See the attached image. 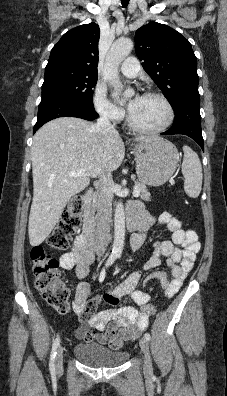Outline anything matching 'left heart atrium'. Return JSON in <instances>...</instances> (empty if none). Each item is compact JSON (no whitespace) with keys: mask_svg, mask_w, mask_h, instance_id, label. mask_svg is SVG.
<instances>
[{"mask_svg":"<svg viewBox=\"0 0 227 396\" xmlns=\"http://www.w3.org/2000/svg\"><path fill=\"white\" fill-rule=\"evenodd\" d=\"M139 99H140V96H139V95L135 96V97L131 100V102H130V104H129V109H130Z\"/></svg>","mask_w":227,"mask_h":396,"instance_id":"39dd6f15","label":"left heart atrium"}]
</instances>
